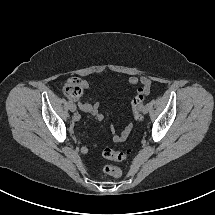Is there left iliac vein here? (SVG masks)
<instances>
[{
	"mask_svg": "<svg viewBox=\"0 0 215 215\" xmlns=\"http://www.w3.org/2000/svg\"><path fill=\"white\" fill-rule=\"evenodd\" d=\"M149 108H150V105L149 104H145L144 106H143V114H147L148 113V111H149Z\"/></svg>",
	"mask_w": 215,
	"mask_h": 215,
	"instance_id": "obj_1",
	"label": "left iliac vein"
}]
</instances>
